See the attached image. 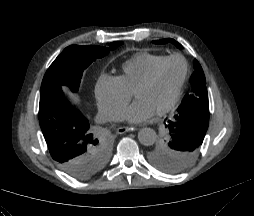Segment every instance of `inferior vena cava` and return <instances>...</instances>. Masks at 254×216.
Returning <instances> with one entry per match:
<instances>
[{
	"label": "inferior vena cava",
	"mask_w": 254,
	"mask_h": 216,
	"mask_svg": "<svg viewBox=\"0 0 254 216\" xmlns=\"http://www.w3.org/2000/svg\"><path fill=\"white\" fill-rule=\"evenodd\" d=\"M95 120L98 123L111 122V121L117 122L122 120V116L112 108L101 106L98 108V114Z\"/></svg>",
	"instance_id": "602c4592"
}]
</instances>
